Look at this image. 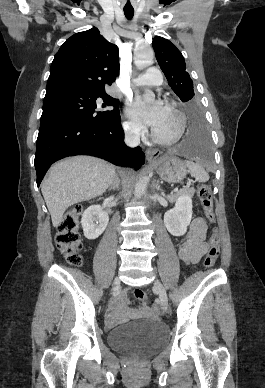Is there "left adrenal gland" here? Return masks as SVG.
I'll use <instances>...</instances> for the list:
<instances>
[{
  "label": "left adrenal gland",
  "instance_id": "a2214340",
  "mask_svg": "<svg viewBox=\"0 0 265 388\" xmlns=\"http://www.w3.org/2000/svg\"><path fill=\"white\" fill-rule=\"evenodd\" d=\"M156 188H160L159 182H156Z\"/></svg>",
  "mask_w": 265,
  "mask_h": 388
}]
</instances>
